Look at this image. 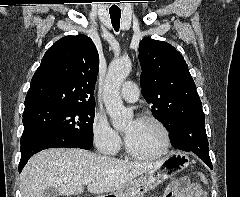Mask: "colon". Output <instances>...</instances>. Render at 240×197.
<instances>
[{"label":"colon","instance_id":"colon-1","mask_svg":"<svg viewBox=\"0 0 240 197\" xmlns=\"http://www.w3.org/2000/svg\"><path fill=\"white\" fill-rule=\"evenodd\" d=\"M197 178L203 183L207 182V178H206L205 174H203V173H198Z\"/></svg>","mask_w":240,"mask_h":197}]
</instances>
